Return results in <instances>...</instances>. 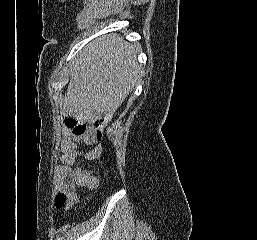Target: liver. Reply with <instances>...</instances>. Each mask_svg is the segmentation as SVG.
<instances>
[{"mask_svg": "<svg viewBox=\"0 0 257 240\" xmlns=\"http://www.w3.org/2000/svg\"><path fill=\"white\" fill-rule=\"evenodd\" d=\"M137 48L119 35L99 37L85 47L70 70L62 115L94 120L113 115L141 77Z\"/></svg>", "mask_w": 257, "mask_h": 240, "instance_id": "obj_1", "label": "liver"}]
</instances>
